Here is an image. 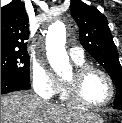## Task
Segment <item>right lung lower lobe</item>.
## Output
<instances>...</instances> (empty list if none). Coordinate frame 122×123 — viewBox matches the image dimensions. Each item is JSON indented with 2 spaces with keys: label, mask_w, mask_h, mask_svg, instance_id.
Returning <instances> with one entry per match:
<instances>
[{
  "label": "right lung lower lobe",
  "mask_w": 122,
  "mask_h": 123,
  "mask_svg": "<svg viewBox=\"0 0 122 123\" xmlns=\"http://www.w3.org/2000/svg\"><path fill=\"white\" fill-rule=\"evenodd\" d=\"M29 88V81L22 80L9 74L1 73V94L19 90H27Z\"/></svg>",
  "instance_id": "obj_1"
}]
</instances>
